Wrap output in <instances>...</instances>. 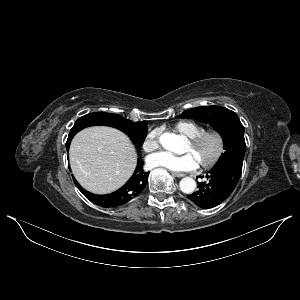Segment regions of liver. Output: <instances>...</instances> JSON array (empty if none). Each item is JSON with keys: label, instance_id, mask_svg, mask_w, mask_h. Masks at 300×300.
Segmentation results:
<instances>
[{"label": "liver", "instance_id": "1", "mask_svg": "<svg viewBox=\"0 0 300 300\" xmlns=\"http://www.w3.org/2000/svg\"><path fill=\"white\" fill-rule=\"evenodd\" d=\"M72 172L86 190L107 194L131 177L137 162L135 148L121 131L104 126L88 127L70 145Z\"/></svg>", "mask_w": 300, "mask_h": 300}]
</instances>
